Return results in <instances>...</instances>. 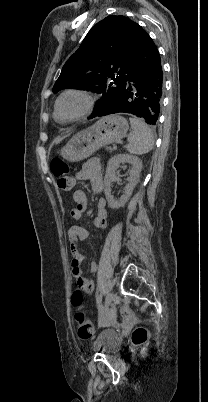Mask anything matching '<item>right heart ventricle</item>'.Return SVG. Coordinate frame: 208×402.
<instances>
[{
  "label": "right heart ventricle",
  "mask_w": 208,
  "mask_h": 402,
  "mask_svg": "<svg viewBox=\"0 0 208 402\" xmlns=\"http://www.w3.org/2000/svg\"><path fill=\"white\" fill-rule=\"evenodd\" d=\"M54 120L57 122V123H62L56 116H55V114H54Z\"/></svg>",
  "instance_id": "obj_1"
}]
</instances>
